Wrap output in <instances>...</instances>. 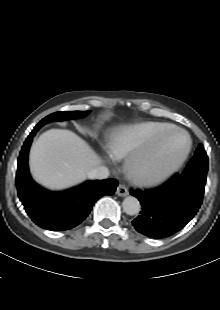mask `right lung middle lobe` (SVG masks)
Wrapping results in <instances>:
<instances>
[{
    "label": "right lung middle lobe",
    "instance_id": "1",
    "mask_svg": "<svg viewBox=\"0 0 220 310\" xmlns=\"http://www.w3.org/2000/svg\"><path fill=\"white\" fill-rule=\"evenodd\" d=\"M90 111H73V112H55L42 119L37 125L40 127L52 121H62L67 119L82 118L89 114Z\"/></svg>",
    "mask_w": 220,
    "mask_h": 310
}]
</instances>
